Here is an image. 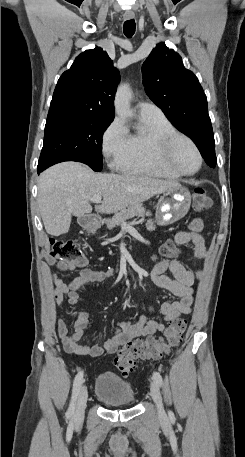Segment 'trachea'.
Instances as JSON below:
<instances>
[{
  "label": "trachea",
  "mask_w": 245,
  "mask_h": 457,
  "mask_svg": "<svg viewBox=\"0 0 245 457\" xmlns=\"http://www.w3.org/2000/svg\"><path fill=\"white\" fill-rule=\"evenodd\" d=\"M135 28H136V24H135L134 19L126 20V22H124V25H123V32H124L125 36L128 38L132 37L135 33Z\"/></svg>",
  "instance_id": "3493384b"
}]
</instances>
